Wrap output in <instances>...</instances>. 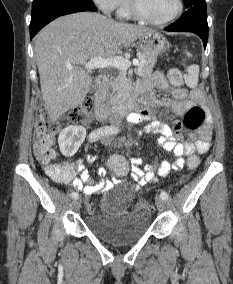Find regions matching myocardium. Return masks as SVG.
Returning a JSON list of instances; mask_svg holds the SVG:
<instances>
[{
  "label": "myocardium",
  "mask_w": 233,
  "mask_h": 284,
  "mask_svg": "<svg viewBox=\"0 0 233 284\" xmlns=\"http://www.w3.org/2000/svg\"><path fill=\"white\" fill-rule=\"evenodd\" d=\"M177 2V7L176 10L174 11V13L163 19V20H156L153 19L151 17H149L148 15H146L143 10L140 7L139 1L138 0H129V6H130V10L132 12V15H134L137 19L148 23V24H152V25H157V26H161V25H166L169 24L171 22H173L174 20H176L183 11V0H176Z\"/></svg>",
  "instance_id": "f54148a6"
}]
</instances>
